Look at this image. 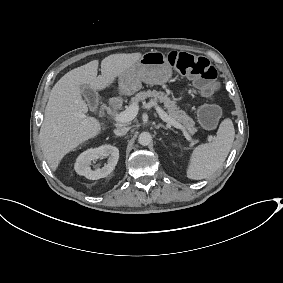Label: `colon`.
Masks as SVG:
<instances>
[{"instance_id":"obj_1","label":"colon","mask_w":283,"mask_h":283,"mask_svg":"<svg viewBox=\"0 0 283 283\" xmlns=\"http://www.w3.org/2000/svg\"><path fill=\"white\" fill-rule=\"evenodd\" d=\"M168 60L181 74L191 77L204 95H211L217 89V71L204 57L187 52L172 51ZM220 108L216 104H203L198 109V120L207 128H213L219 119Z\"/></svg>"}]
</instances>
